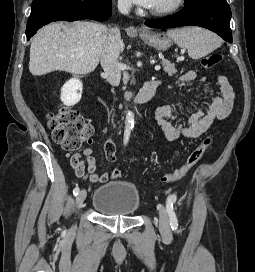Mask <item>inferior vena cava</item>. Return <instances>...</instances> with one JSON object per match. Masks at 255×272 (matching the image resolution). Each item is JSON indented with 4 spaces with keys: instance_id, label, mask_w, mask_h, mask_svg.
Wrapping results in <instances>:
<instances>
[{
    "instance_id": "inferior-vena-cava-1",
    "label": "inferior vena cava",
    "mask_w": 255,
    "mask_h": 272,
    "mask_svg": "<svg viewBox=\"0 0 255 272\" xmlns=\"http://www.w3.org/2000/svg\"><path fill=\"white\" fill-rule=\"evenodd\" d=\"M131 4L128 0H118V10L127 15ZM121 35L118 27H112L108 31V37L101 54V66L107 81L112 86H118L121 80V64L118 62L120 54Z\"/></svg>"
}]
</instances>
